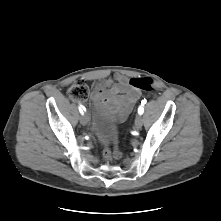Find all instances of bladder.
I'll use <instances>...</instances> for the list:
<instances>
[{
    "label": "bladder",
    "instance_id": "1",
    "mask_svg": "<svg viewBox=\"0 0 221 221\" xmlns=\"http://www.w3.org/2000/svg\"><path fill=\"white\" fill-rule=\"evenodd\" d=\"M92 125L95 133L102 140H107L108 138L117 135V120L104 104H94Z\"/></svg>",
    "mask_w": 221,
    "mask_h": 221
}]
</instances>
